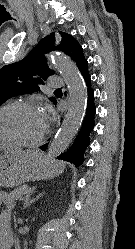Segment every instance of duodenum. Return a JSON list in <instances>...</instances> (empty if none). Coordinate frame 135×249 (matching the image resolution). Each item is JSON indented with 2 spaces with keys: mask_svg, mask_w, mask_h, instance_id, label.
I'll list each match as a JSON object with an SVG mask.
<instances>
[{
  "mask_svg": "<svg viewBox=\"0 0 135 249\" xmlns=\"http://www.w3.org/2000/svg\"><path fill=\"white\" fill-rule=\"evenodd\" d=\"M12 241V236H9L2 245V249H10V243Z\"/></svg>",
  "mask_w": 135,
  "mask_h": 249,
  "instance_id": "410a0bca",
  "label": "duodenum"
}]
</instances>
